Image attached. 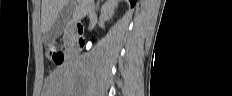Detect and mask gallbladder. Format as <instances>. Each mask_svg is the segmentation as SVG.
<instances>
[{
	"mask_svg": "<svg viewBox=\"0 0 232 96\" xmlns=\"http://www.w3.org/2000/svg\"><path fill=\"white\" fill-rule=\"evenodd\" d=\"M71 14L72 7L70 5H65L58 14L51 28L44 34L43 42L45 44L54 41L64 32Z\"/></svg>",
	"mask_w": 232,
	"mask_h": 96,
	"instance_id": "obj_1",
	"label": "gallbladder"
}]
</instances>
